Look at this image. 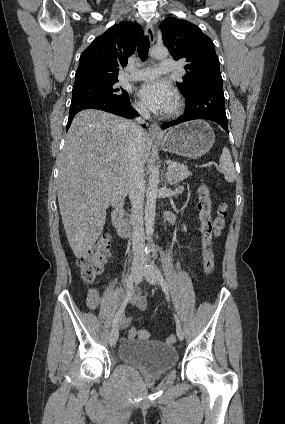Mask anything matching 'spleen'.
Segmentation results:
<instances>
[{
    "label": "spleen",
    "instance_id": "3e777b00",
    "mask_svg": "<svg viewBox=\"0 0 285 424\" xmlns=\"http://www.w3.org/2000/svg\"><path fill=\"white\" fill-rule=\"evenodd\" d=\"M218 170L224 175L228 182H234L236 179V171L232 162L230 151L224 147L219 160Z\"/></svg>",
    "mask_w": 285,
    "mask_h": 424
}]
</instances>
